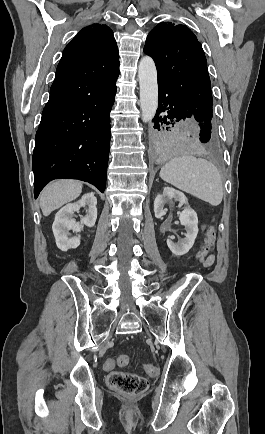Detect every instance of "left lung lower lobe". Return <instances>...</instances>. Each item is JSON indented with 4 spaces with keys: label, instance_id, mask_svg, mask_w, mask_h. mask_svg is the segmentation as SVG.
<instances>
[{
    "label": "left lung lower lobe",
    "instance_id": "1",
    "mask_svg": "<svg viewBox=\"0 0 265 434\" xmlns=\"http://www.w3.org/2000/svg\"><path fill=\"white\" fill-rule=\"evenodd\" d=\"M158 89L159 104L157 113L153 119L155 123L154 127L160 130V125L163 123L168 125L172 121L189 119L193 124L195 147L197 150L207 154L219 152L221 144L215 124L205 121L202 117L203 115L194 114L187 108L183 99L159 81ZM165 111H167V116L161 117L160 114ZM167 118L171 119V122H168ZM154 149L159 154L170 155L177 153L179 146L169 139L159 138L154 142Z\"/></svg>",
    "mask_w": 265,
    "mask_h": 434
}]
</instances>
